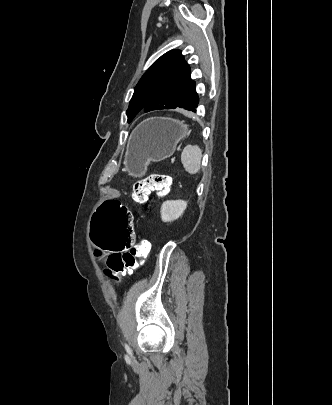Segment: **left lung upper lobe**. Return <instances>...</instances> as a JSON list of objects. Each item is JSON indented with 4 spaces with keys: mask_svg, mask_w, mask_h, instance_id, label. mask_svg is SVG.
Returning <instances> with one entry per match:
<instances>
[{
    "mask_svg": "<svg viewBox=\"0 0 332 405\" xmlns=\"http://www.w3.org/2000/svg\"><path fill=\"white\" fill-rule=\"evenodd\" d=\"M198 102L189 65L180 50H171L157 59L139 80L126 114L131 122L141 110L183 108L190 111Z\"/></svg>",
    "mask_w": 332,
    "mask_h": 405,
    "instance_id": "1",
    "label": "left lung upper lobe"
}]
</instances>
